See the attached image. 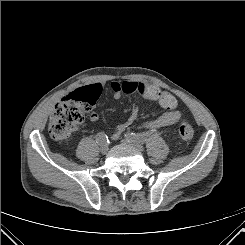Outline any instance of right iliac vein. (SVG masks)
Here are the masks:
<instances>
[{
  "label": "right iliac vein",
  "instance_id": "1",
  "mask_svg": "<svg viewBox=\"0 0 245 245\" xmlns=\"http://www.w3.org/2000/svg\"><path fill=\"white\" fill-rule=\"evenodd\" d=\"M100 150L102 154H106L108 152V146L103 145Z\"/></svg>",
  "mask_w": 245,
  "mask_h": 245
}]
</instances>
